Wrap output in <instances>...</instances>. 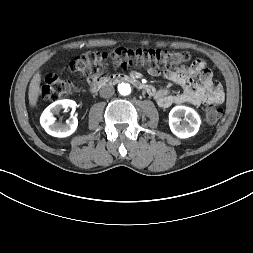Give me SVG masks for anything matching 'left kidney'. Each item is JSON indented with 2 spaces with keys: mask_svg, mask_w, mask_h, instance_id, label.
I'll use <instances>...</instances> for the list:
<instances>
[{
  "mask_svg": "<svg viewBox=\"0 0 253 253\" xmlns=\"http://www.w3.org/2000/svg\"><path fill=\"white\" fill-rule=\"evenodd\" d=\"M200 124L201 119L198 113L190 107L175 106L169 113L170 129L179 138L194 136L198 132Z\"/></svg>",
  "mask_w": 253,
  "mask_h": 253,
  "instance_id": "obj_1",
  "label": "left kidney"
}]
</instances>
